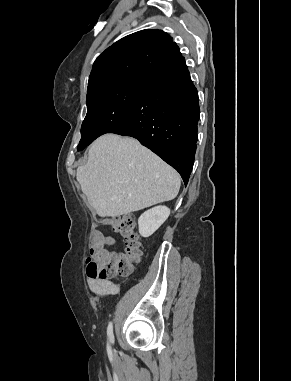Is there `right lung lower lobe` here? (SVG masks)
I'll use <instances>...</instances> for the list:
<instances>
[{
  "label": "right lung lower lobe",
  "instance_id": "1",
  "mask_svg": "<svg viewBox=\"0 0 291 381\" xmlns=\"http://www.w3.org/2000/svg\"><path fill=\"white\" fill-rule=\"evenodd\" d=\"M199 115L198 92L181 55L142 81L126 123L113 133L138 139L174 167L187 185Z\"/></svg>",
  "mask_w": 291,
  "mask_h": 381
}]
</instances>
